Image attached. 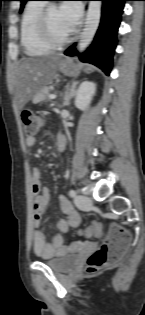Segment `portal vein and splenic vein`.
Listing matches in <instances>:
<instances>
[{"mask_svg": "<svg viewBox=\"0 0 145 315\" xmlns=\"http://www.w3.org/2000/svg\"><path fill=\"white\" fill-rule=\"evenodd\" d=\"M48 98H49L50 100L55 99V98H56V95L50 94Z\"/></svg>", "mask_w": 145, "mask_h": 315, "instance_id": "portal-vein-and-splenic-vein-1", "label": "portal vein and splenic vein"}]
</instances>
